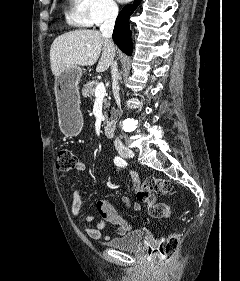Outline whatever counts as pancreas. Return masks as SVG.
Returning a JSON list of instances; mask_svg holds the SVG:
<instances>
[{
    "instance_id": "cf45deb5",
    "label": "pancreas",
    "mask_w": 240,
    "mask_h": 281,
    "mask_svg": "<svg viewBox=\"0 0 240 281\" xmlns=\"http://www.w3.org/2000/svg\"><path fill=\"white\" fill-rule=\"evenodd\" d=\"M98 81H89L87 82L84 87L82 88V96L84 98H92V96L95 93V88L98 85ZM110 106V103L108 101V99H104V110L108 109ZM105 116L107 115V112L105 111Z\"/></svg>"
}]
</instances>
